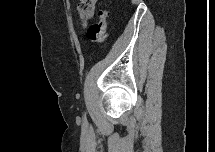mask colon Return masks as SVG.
I'll use <instances>...</instances> for the list:
<instances>
[{
	"label": "colon",
	"instance_id": "1",
	"mask_svg": "<svg viewBox=\"0 0 215 152\" xmlns=\"http://www.w3.org/2000/svg\"><path fill=\"white\" fill-rule=\"evenodd\" d=\"M94 0H81L78 4V13L83 24H86L94 15ZM109 2L99 11L98 22L87 29V41L92 44L102 43L106 37V26L109 17Z\"/></svg>",
	"mask_w": 215,
	"mask_h": 152
}]
</instances>
